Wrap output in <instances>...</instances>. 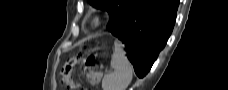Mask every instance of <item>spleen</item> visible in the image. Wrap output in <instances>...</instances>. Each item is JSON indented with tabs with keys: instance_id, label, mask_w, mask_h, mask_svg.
<instances>
[{
	"instance_id": "1",
	"label": "spleen",
	"mask_w": 228,
	"mask_h": 90,
	"mask_svg": "<svg viewBox=\"0 0 228 90\" xmlns=\"http://www.w3.org/2000/svg\"><path fill=\"white\" fill-rule=\"evenodd\" d=\"M112 72L102 80L103 90H126L132 80L133 68L125 56L122 45L115 41L111 58Z\"/></svg>"
}]
</instances>
